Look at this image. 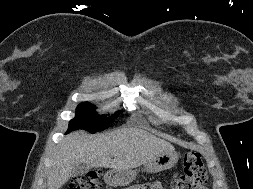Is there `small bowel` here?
I'll return each instance as SVG.
<instances>
[{
  "mask_svg": "<svg viewBox=\"0 0 253 189\" xmlns=\"http://www.w3.org/2000/svg\"><path fill=\"white\" fill-rule=\"evenodd\" d=\"M130 189H165V187L161 183L155 182L153 184L134 185Z\"/></svg>",
  "mask_w": 253,
  "mask_h": 189,
  "instance_id": "c3829d8e",
  "label": "small bowel"
}]
</instances>
